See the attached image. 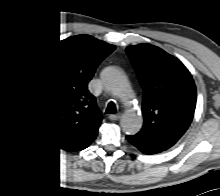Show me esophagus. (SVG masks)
<instances>
[{
  "instance_id": "obj_1",
  "label": "esophagus",
  "mask_w": 220,
  "mask_h": 196,
  "mask_svg": "<svg viewBox=\"0 0 220 196\" xmlns=\"http://www.w3.org/2000/svg\"><path fill=\"white\" fill-rule=\"evenodd\" d=\"M120 117H121V113L112 114V115L110 116V119H111V120H117V119H119Z\"/></svg>"
}]
</instances>
